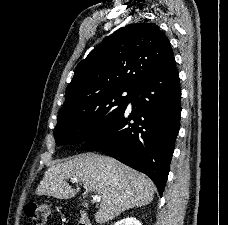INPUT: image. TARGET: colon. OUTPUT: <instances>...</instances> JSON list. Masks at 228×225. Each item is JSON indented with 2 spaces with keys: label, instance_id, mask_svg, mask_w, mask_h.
<instances>
[{
  "label": "colon",
  "instance_id": "1",
  "mask_svg": "<svg viewBox=\"0 0 228 225\" xmlns=\"http://www.w3.org/2000/svg\"><path fill=\"white\" fill-rule=\"evenodd\" d=\"M26 216L33 220L34 225H55L49 221L50 209L47 202L30 201L25 210Z\"/></svg>",
  "mask_w": 228,
  "mask_h": 225
}]
</instances>
